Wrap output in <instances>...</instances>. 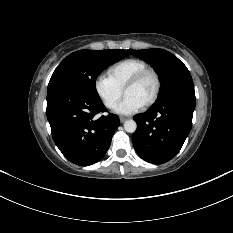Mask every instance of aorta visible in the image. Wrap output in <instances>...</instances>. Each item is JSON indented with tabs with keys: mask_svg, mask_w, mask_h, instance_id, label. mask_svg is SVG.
Masks as SVG:
<instances>
[{
	"mask_svg": "<svg viewBox=\"0 0 233 233\" xmlns=\"http://www.w3.org/2000/svg\"><path fill=\"white\" fill-rule=\"evenodd\" d=\"M124 129L128 133H134L137 129V124L134 120H127L124 123Z\"/></svg>",
	"mask_w": 233,
	"mask_h": 233,
	"instance_id": "aorta-1",
	"label": "aorta"
}]
</instances>
